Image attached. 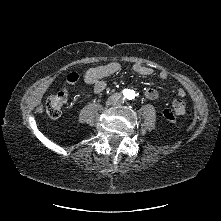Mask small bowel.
Masks as SVG:
<instances>
[{
    "label": "small bowel",
    "instance_id": "c3829d8e",
    "mask_svg": "<svg viewBox=\"0 0 221 221\" xmlns=\"http://www.w3.org/2000/svg\"><path fill=\"white\" fill-rule=\"evenodd\" d=\"M121 68L118 62H111L103 66L95 67L88 70L84 75V80L93 86L95 92H100L105 87L104 79L112 74L117 73ZM133 71L140 76H152L155 70L142 63H135L133 65ZM169 76L166 70H161L159 72V77L163 80L167 79ZM159 95V92L155 88H147L145 90V96L149 99H155ZM177 98L173 100V107H181L185 109V103L182 98L185 96V91L183 89H178L176 91Z\"/></svg>",
    "mask_w": 221,
    "mask_h": 221
}]
</instances>
